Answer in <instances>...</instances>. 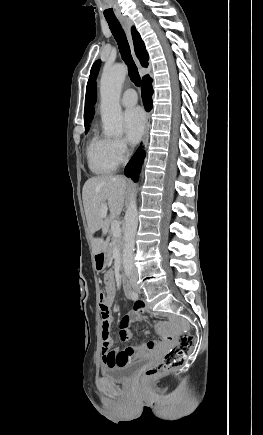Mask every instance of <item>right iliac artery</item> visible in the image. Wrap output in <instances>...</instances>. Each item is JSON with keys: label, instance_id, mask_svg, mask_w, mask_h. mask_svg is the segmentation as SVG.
I'll use <instances>...</instances> for the list:
<instances>
[{"label": "right iliac artery", "instance_id": "right-iliac-artery-1", "mask_svg": "<svg viewBox=\"0 0 263 435\" xmlns=\"http://www.w3.org/2000/svg\"><path fill=\"white\" fill-rule=\"evenodd\" d=\"M129 297H130L132 300H134V301H136V300L138 299V295H137V293H135V292L132 291V290H131V292H130V294H129Z\"/></svg>", "mask_w": 263, "mask_h": 435}]
</instances>
